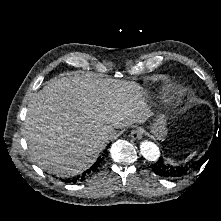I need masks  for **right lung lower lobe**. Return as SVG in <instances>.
<instances>
[{"mask_svg": "<svg viewBox=\"0 0 221 221\" xmlns=\"http://www.w3.org/2000/svg\"><path fill=\"white\" fill-rule=\"evenodd\" d=\"M102 160H103V158L99 157L97 159V161L88 170H86L83 174H81L80 176L74 177V178H68L63 181H65L66 183H69V182L75 183L78 180L83 181L88 175H91L93 172H95L97 170V168H98L99 164L102 162Z\"/></svg>", "mask_w": 221, "mask_h": 221, "instance_id": "98d812e1", "label": "right lung lower lobe"}]
</instances>
